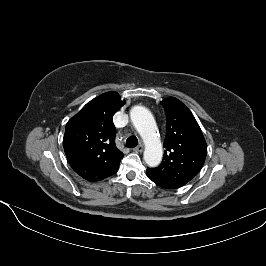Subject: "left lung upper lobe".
I'll return each instance as SVG.
<instances>
[{"label":"left lung upper lobe","instance_id":"obj_1","mask_svg":"<svg viewBox=\"0 0 266 266\" xmlns=\"http://www.w3.org/2000/svg\"><path fill=\"white\" fill-rule=\"evenodd\" d=\"M166 113L167 133L162 163L149 170L170 188H179L201 170L207 155L202 131L191 111L178 99L161 101Z\"/></svg>","mask_w":266,"mask_h":266}]
</instances>
